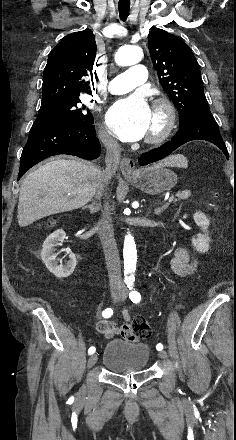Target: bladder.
<instances>
[{
    "label": "bladder",
    "mask_w": 236,
    "mask_h": 440,
    "mask_svg": "<svg viewBox=\"0 0 236 440\" xmlns=\"http://www.w3.org/2000/svg\"><path fill=\"white\" fill-rule=\"evenodd\" d=\"M150 358L147 344L114 338L104 348L102 364L114 373L143 372L147 370Z\"/></svg>",
    "instance_id": "obj_1"
}]
</instances>
